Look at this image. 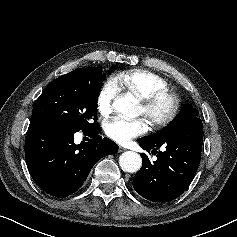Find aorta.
<instances>
[{
	"label": "aorta",
	"instance_id": "aorta-1",
	"mask_svg": "<svg viewBox=\"0 0 237 237\" xmlns=\"http://www.w3.org/2000/svg\"><path fill=\"white\" fill-rule=\"evenodd\" d=\"M138 100L132 95L118 97L113 102V108L124 116L133 118L137 116ZM119 165L123 171L134 173L142 165L140 155L133 151H126L119 157Z\"/></svg>",
	"mask_w": 237,
	"mask_h": 237
}]
</instances>
